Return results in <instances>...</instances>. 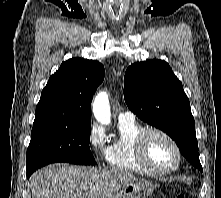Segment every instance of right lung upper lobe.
<instances>
[{"label":"right lung upper lobe","instance_id":"cb5924a9","mask_svg":"<svg viewBox=\"0 0 221 198\" xmlns=\"http://www.w3.org/2000/svg\"><path fill=\"white\" fill-rule=\"evenodd\" d=\"M104 76V66L96 60L72 58L63 62L42 90L33 126L91 124V101Z\"/></svg>","mask_w":221,"mask_h":198}]
</instances>
